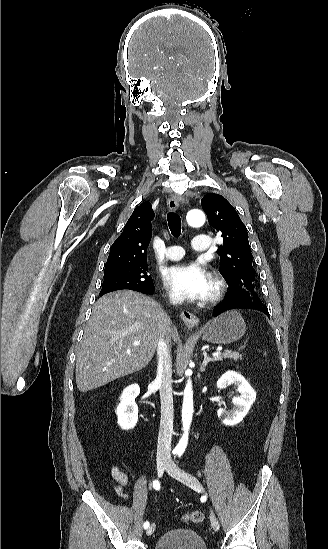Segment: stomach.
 <instances>
[{
  "instance_id": "stomach-1",
  "label": "stomach",
  "mask_w": 328,
  "mask_h": 549,
  "mask_svg": "<svg viewBox=\"0 0 328 549\" xmlns=\"http://www.w3.org/2000/svg\"><path fill=\"white\" fill-rule=\"evenodd\" d=\"M246 325L240 313L236 309L225 311L222 315L215 317L210 325L203 331L202 341L216 343V345H228L239 341L245 335Z\"/></svg>"
}]
</instances>
